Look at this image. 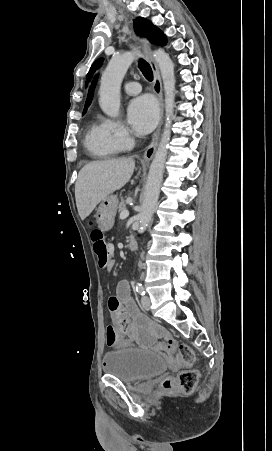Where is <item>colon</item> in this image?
<instances>
[{"label":"colon","instance_id":"colon-1","mask_svg":"<svg viewBox=\"0 0 272 451\" xmlns=\"http://www.w3.org/2000/svg\"><path fill=\"white\" fill-rule=\"evenodd\" d=\"M91 238L94 243V249L97 256V264L104 267L109 263L112 247L109 241L103 239L102 233L99 230L91 232ZM121 321V319H119ZM107 348H122V339H117V327L111 325L107 327ZM190 345L183 342H166L165 350L174 353V359L178 365H193L196 356L195 350H190ZM198 373L196 370L186 369L177 374L175 380L166 379L163 382L164 388H169L171 385L178 387L185 393H191L197 382Z\"/></svg>","mask_w":272,"mask_h":451}]
</instances>
